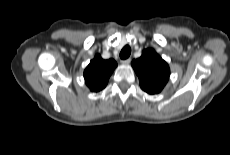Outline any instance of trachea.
Masks as SVG:
<instances>
[{
	"label": "trachea",
	"mask_w": 230,
	"mask_h": 155,
	"mask_svg": "<svg viewBox=\"0 0 230 155\" xmlns=\"http://www.w3.org/2000/svg\"><path fill=\"white\" fill-rule=\"evenodd\" d=\"M131 54V48L126 45L125 47H123V49L120 52V58L121 59H127Z\"/></svg>",
	"instance_id": "3493384b"
}]
</instances>
